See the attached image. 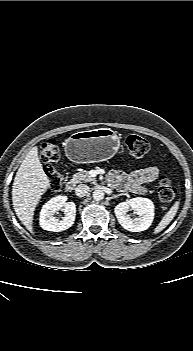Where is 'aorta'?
I'll use <instances>...</instances> for the list:
<instances>
[{
	"mask_svg": "<svg viewBox=\"0 0 193 351\" xmlns=\"http://www.w3.org/2000/svg\"><path fill=\"white\" fill-rule=\"evenodd\" d=\"M104 198V192L102 190H95L93 192V199L96 201H100Z\"/></svg>",
	"mask_w": 193,
	"mask_h": 351,
	"instance_id": "aorta-1",
	"label": "aorta"
}]
</instances>
